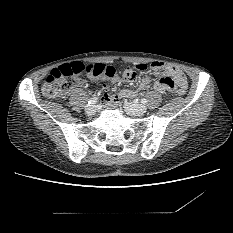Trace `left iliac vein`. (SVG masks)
<instances>
[{"label": "left iliac vein", "mask_w": 233, "mask_h": 233, "mask_svg": "<svg viewBox=\"0 0 233 233\" xmlns=\"http://www.w3.org/2000/svg\"><path fill=\"white\" fill-rule=\"evenodd\" d=\"M124 108L126 112L130 115H142L146 113L147 108L146 106L142 104H135L132 102H125L124 103Z\"/></svg>", "instance_id": "left-iliac-vein-1"}]
</instances>
